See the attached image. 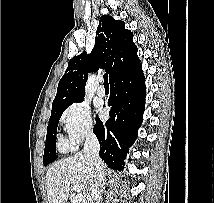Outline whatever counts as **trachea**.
<instances>
[{
    "label": "trachea",
    "instance_id": "trachea-1",
    "mask_svg": "<svg viewBox=\"0 0 214 203\" xmlns=\"http://www.w3.org/2000/svg\"><path fill=\"white\" fill-rule=\"evenodd\" d=\"M104 86H109V84H108V74H104Z\"/></svg>",
    "mask_w": 214,
    "mask_h": 203
}]
</instances>
